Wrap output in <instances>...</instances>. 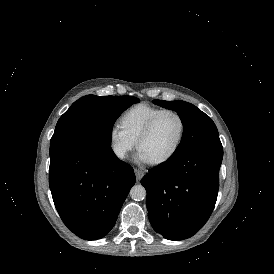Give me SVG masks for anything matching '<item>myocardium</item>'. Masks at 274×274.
Here are the masks:
<instances>
[{"instance_id": "f54148a6", "label": "myocardium", "mask_w": 274, "mask_h": 274, "mask_svg": "<svg viewBox=\"0 0 274 274\" xmlns=\"http://www.w3.org/2000/svg\"><path fill=\"white\" fill-rule=\"evenodd\" d=\"M167 113H172L176 115L180 121V130L178 133V136L176 138L175 144L172 148V150L163 158L155 161L148 162L150 166H161L166 163H168L172 158L176 155V153L179 150V147L181 145V142L183 140L184 134H185V129H186V124H185V119L183 115L176 109H163L159 113H157L148 123L147 125L142 129V131L138 134V136L135 139V144H136V149L139 150L140 143L143 139H145L151 131L154 129L155 125L159 121V119Z\"/></svg>"}]
</instances>
